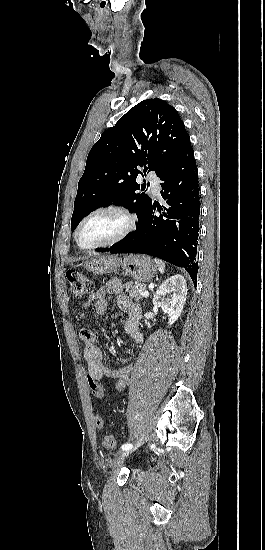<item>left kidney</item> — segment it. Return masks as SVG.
I'll return each mask as SVG.
<instances>
[{"label":"left kidney","mask_w":265,"mask_h":550,"mask_svg":"<svg viewBox=\"0 0 265 550\" xmlns=\"http://www.w3.org/2000/svg\"><path fill=\"white\" fill-rule=\"evenodd\" d=\"M187 296V283L182 275L166 279L153 297V305L168 314V325H173L180 317Z\"/></svg>","instance_id":"5707ae66"}]
</instances>
